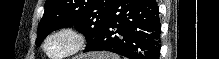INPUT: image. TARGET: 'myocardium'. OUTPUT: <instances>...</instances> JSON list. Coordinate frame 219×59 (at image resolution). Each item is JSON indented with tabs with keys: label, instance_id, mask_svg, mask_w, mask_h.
Instances as JSON below:
<instances>
[{
	"label": "myocardium",
	"instance_id": "f54148a6",
	"mask_svg": "<svg viewBox=\"0 0 219 59\" xmlns=\"http://www.w3.org/2000/svg\"><path fill=\"white\" fill-rule=\"evenodd\" d=\"M57 36H67L72 41L71 48L61 55L50 54L47 45L50 40ZM86 36L78 29L72 26H63L48 33L43 39L41 48L44 55L49 59H67L81 52L86 45Z\"/></svg>",
	"mask_w": 219,
	"mask_h": 59
}]
</instances>
